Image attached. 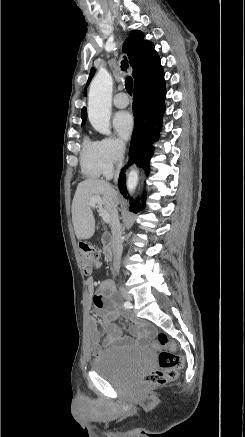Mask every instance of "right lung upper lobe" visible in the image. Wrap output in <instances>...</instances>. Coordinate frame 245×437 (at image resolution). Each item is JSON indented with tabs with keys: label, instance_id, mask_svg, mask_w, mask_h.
I'll use <instances>...</instances> for the list:
<instances>
[{
	"label": "right lung upper lobe",
	"instance_id": "right-lung-upper-lobe-1",
	"mask_svg": "<svg viewBox=\"0 0 245 437\" xmlns=\"http://www.w3.org/2000/svg\"><path fill=\"white\" fill-rule=\"evenodd\" d=\"M123 50L127 53L131 66L133 67L132 76L135 82V88L152 84L164 76L160 58L154 50L152 42L144 40V34L141 31H132L129 38L126 39ZM95 69L90 71L86 89L91 81ZM82 125L87 119L86 107L81 112Z\"/></svg>",
	"mask_w": 245,
	"mask_h": 437
}]
</instances>
